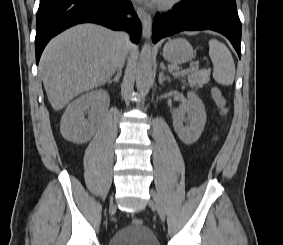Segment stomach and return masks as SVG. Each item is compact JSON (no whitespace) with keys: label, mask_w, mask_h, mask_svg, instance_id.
Masks as SVG:
<instances>
[{"label":"stomach","mask_w":283,"mask_h":245,"mask_svg":"<svg viewBox=\"0 0 283 245\" xmlns=\"http://www.w3.org/2000/svg\"><path fill=\"white\" fill-rule=\"evenodd\" d=\"M163 57L172 64H183L193 58V48L183 38L172 39L164 45Z\"/></svg>","instance_id":"obj_1"}]
</instances>
